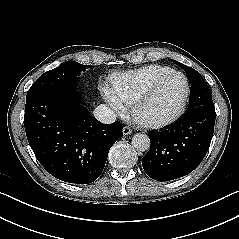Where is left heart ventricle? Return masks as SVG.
Listing matches in <instances>:
<instances>
[{
    "mask_svg": "<svg viewBox=\"0 0 239 239\" xmlns=\"http://www.w3.org/2000/svg\"><path fill=\"white\" fill-rule=\"evenodd\" d=\"M184 91L185 84L182 77H169L158 86L143 105L141 117L148 120L167 118L177 109Z\"/></svg>",
    "mask_w": 239,
    "mask_h": 239,
    "instance_id": "obj_1",
    "label": "left heart ventricle"
}]
</instances>
